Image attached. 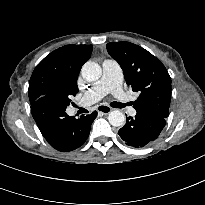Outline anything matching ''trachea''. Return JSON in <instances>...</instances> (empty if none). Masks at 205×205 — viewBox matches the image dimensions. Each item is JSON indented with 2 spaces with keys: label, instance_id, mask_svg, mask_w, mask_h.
Masks as SVG:
<instances>
[{
  "label": "trachea",
  "instance_id": "trachea-1",
  "mask_svg": "<svg viewBox=\"0 0 205 205\" xmlns=\"http://www.w3.org/2000/svg\"><path fill=\"white\" fill-rule=\"evenodd\" d=\"M113 106L116 107V108H122L123 107V105L121 103H118V102H115L113 104Z\"/></svg>",
  "mask_w": 205,
  "mask_h": 205
}]
</instances>
